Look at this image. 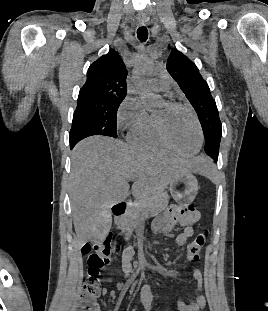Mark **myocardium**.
<instances>
[{
	"instance_id": "1",
	"label": "myocardium",
	"mask_w": 268,
	"mask_h": 311,
	"mask_svg": "<svg viewBox=\"0 0 268 311\" xmlns=\"http://www.w3.org/2000/svg\"><path fill=\"white\" fill-rule=\"evenodd\" d=\"M166 107L168 109H182V110H185L186 112H188L191 117L193 118L195 124H196V127H197V130H198V134H199V143H198V146L196 148V150L192 153H185V152H182L180 151L179 149H177L173 144L172 142L169 140L167 134H166V130H165V126H164V120H163V115L160 114V113H156L155 114V119H156V126H157V132H158V135L161 139V141L163 142V144L171 151L175 152L176 154L180 155V156H183V157H193L195 155H197L201 148H202V145H203V142H204V133H203V129H202V126H201V123H200V120L198 118V116L196 115V113L190 108L188 107L187 105H184L182 103H179V102H174V101H169V102H166Z\"/></svg>"
}]
</instances>
